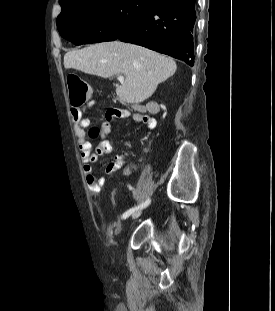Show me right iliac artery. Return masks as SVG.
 Returning <instances> with one entry per match:
<instances>
[{
	"label": "right iliac artery",
	"instance_id": "1",
	"mask_svg": "<svg viewBox=\"0 0 275 311\" xmlns=\"http://www.w3.org/2000/svg\"><path fill=\"white\" fill-rule=\"evenodd\" d=\"M151 200L148 198L144 203L136 206V207H133L129 210H127L123 215H122V218L123 219H126L127 217H129L132 213H134L136 210L138 209H142V208H145L147 207L149 204H150Z\"/></svg>",
	"mask_w": 275,
	"mask_h": 311
}]
</instances>
